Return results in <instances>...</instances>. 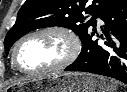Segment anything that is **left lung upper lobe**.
Listing matches in <instances>:
<instances>
[{
	"mask_svg": "<svg viewBox=\"0 0 127 92\" xmlns=\"http://www.w3.org/2000/svg\"><path fill=\"white\" fill-rule=\"evenodd\" d=\"M119 0H26L18 12L14 26L5 37L8 54L13 43L23 35L38 28L63 26L73 30L81 41L96 24V17ZM86 14L92 18L85 22Z\"/></svg>",
	"mask_w": 127,
	"mask_h": 92,
	"instance_id": "1",
	"label": "left lung upper lobe"
}]
</instances>
